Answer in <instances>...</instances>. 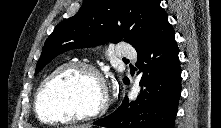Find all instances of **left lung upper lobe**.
Returning a JSON list of instances; mask_svg holds the SVG:
<instances>
[{
	"mask_svg": "<svg viewBox=\"0 0 221 128\" xmlns=\"http://www.w3.org/2000/svg\"><path fill=\"white\" fill-rule=\"evenodd\" d=\"M166 15L160 0H85L79 12L60 22L47 38L35 74L71 49L122 40L136 48Z\"/></svg>",
	"mask_w": 221,
	"mask_h": 128,
	"instance_id": "left-lung-upper-lobe-1",
	"label": "left lung upper lobe"
}]
</instances>
